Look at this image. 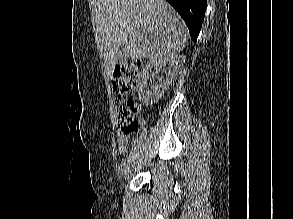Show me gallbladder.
Instances as JSON below:
<instances>
[{"mask_svg":"<svg viewBox=\"0 0 293 219\" xmlns=\"http://www.w3.org/2000/svg\"><path fill=\"white\" fill-rule=\"evenodd\" d=\"M128 60L129 56L126 48L123 45L119 46L116 51V64L123 66L128 62Z\"/></svg>","mask_w":293,"mask_h":219,"instance_id":"obj_1","label":"gallbladder"}]
</instances>
